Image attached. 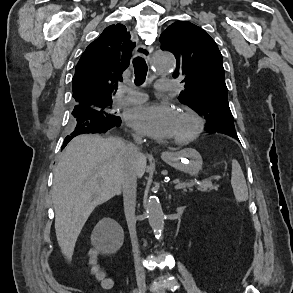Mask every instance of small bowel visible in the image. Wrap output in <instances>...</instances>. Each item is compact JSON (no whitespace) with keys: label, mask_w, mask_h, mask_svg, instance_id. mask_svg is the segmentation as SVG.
Wrapping results in <instances>:
<instances>
[{"label":"small bowel","mask_w":293,"mask_h":293,"mask_svg":"<svg viewBox=\"0 0 293 293\" xmlns=\"http://www.w3.org/2000/svg\"><path fill=\"white\" fill-rule=\"evenodd\" d=\"M105 289H111L113 287V281L110 278H106L105 283L102 286Z\"/></svg>","instance_id":"small-bowel-1"}]
</instances>
